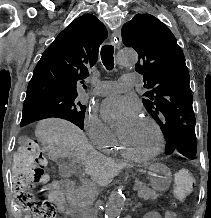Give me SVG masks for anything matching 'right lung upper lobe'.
Masks as SVG:
<instances>
[{"label": "right lung upper lobe", "mask_w": 211, "mask_h": 218, "mask_svg": "<svg viewBox=\"0 0 211 218\" xmlns=\"http://www.w3.org/2000/svg\"><path fill=\"white\" fill-rule=\"evenodd\" d=\"M106 37V27L92 14L72 21L42 54L29 82L25 102L78 95V80L88 77V69L96 63L99 47Z\"/></svg>", "instance_id": "cb5924a9"}]
</instances>
